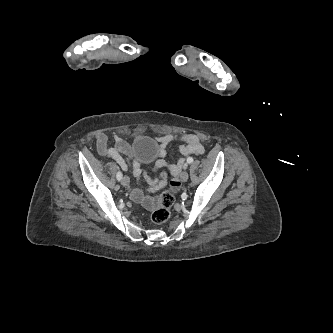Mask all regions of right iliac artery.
<instances>
[{
    "instance_id": "82829eb1",
    "label": "right iliac artery",
    "mask_w": 333,
    "mask_h": 333,
    "mask_svg": "<svg viewBox=\"0 0 333 333\" xmlns=\"http://www.w3.org/2000/svg\"><path fill=\"white\" fill-rule=\"evenodd\" d=\"M122 172L121 171H118L116 177H117V180L120 181L122 179Z\"/></svg>"
}]
</instances>
